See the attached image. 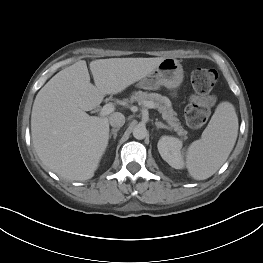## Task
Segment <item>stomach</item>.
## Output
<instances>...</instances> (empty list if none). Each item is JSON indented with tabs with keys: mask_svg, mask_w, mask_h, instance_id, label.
Segmentation results:
<instances>
[{
	"mask_svg": "<svg viewBox=\"0 0 263 263\" xmlns=\"http://www.w3.org/2000/svg\"><path fill=\"white\" fill-rule=\"evenodd\" d=\"M184 71L179 61L172 57L164 58L159 65L137 84L146 90H156L160 86L177 89L183 82Z\"/></svg>",
	"mask_w": 263,
	"mask_h": 263,
	"instance_id": "stomach-1",
	"label": "stomach"
}]
</instances>
